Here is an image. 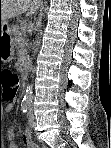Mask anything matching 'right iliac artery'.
Masks as SVG:
<instances>
[{
	"instance_id": "1",
	"label": "right iliac artery",
	"mask_w": 111,
	"mask_h": 148,
	"mask_svg": "<svg viewBox=\"0 0 111 148\" xmlns=\"http://www.w3.org/2000/svg\"><path fill=\"white\" fill-rule=\"evenodd\" d=\"M21 106H22V111H23L24 113H26V112L28 111L30 105H29L28 102H23V103L21 104Z\"/></svg>"
}]
</instances>
